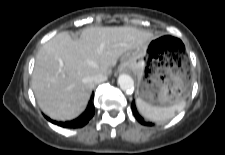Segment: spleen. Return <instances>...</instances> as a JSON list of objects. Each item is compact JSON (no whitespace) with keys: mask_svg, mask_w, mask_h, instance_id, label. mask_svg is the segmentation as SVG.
<instances>
[{"mask_svg":"<svg viewBox=\"0 0 225 155\" xmlns=\"http://www.w3.org/2000/svg\"><path fill=\"white\" fill-rule=\"evenodd\" d=\"M136 105L139 112L147 119L156 122H162L173 118L176 113L182 111L186 105L185 100L168 107L152 106L142 99H136Z\"/></svg>","mask_w":225,"mask_h":155,"instance_id":"1","label":"spleen"}]
</instances>
